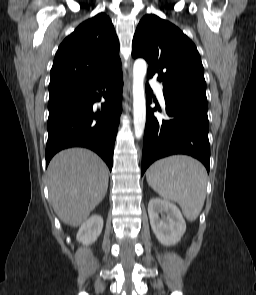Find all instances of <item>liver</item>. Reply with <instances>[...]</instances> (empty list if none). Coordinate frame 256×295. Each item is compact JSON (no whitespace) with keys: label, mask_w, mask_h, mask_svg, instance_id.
<instances>
[{"label":"liver","mask_w":256,"mask_h":295,"mask_svg":"<svg viewBox=\"0 0 256 295\" xmlns=\"http://www.w3.org/2000/svg\"><path fill=\"white\" fill-rule=\"evenodd\" d=\"M108 168L95 153L71 148L56 154L47 169L50 203L61 221L78 227L104 199Z\"/></svg>","instance_id":"obj_1"}]
</instances>
